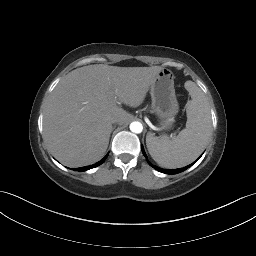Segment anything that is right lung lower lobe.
Listing matches in <instances>:
<instances>
[{
	"mask_svg": "<svg viewBox=\"0 0 256 256\" xmlns=\"http://www.w3.org/2000/svg\"><path fill=\"white\" fill-rule=\"evenodd\" d=\"M107 156H108V154H107L101 161H99V162H97V163H95V164H93V165H91V166H85V167L75 168L74 170H75V171H86V170H89V169H91V168L97 167V166L101 165V164L105 161V159L107 158Z\"/></svg>",
	"mask_w": 256,
	"mask_h": 256,
	"instance_id": "98d812e1",
	"label": "right lung lower lobe"
}]
</instances>
